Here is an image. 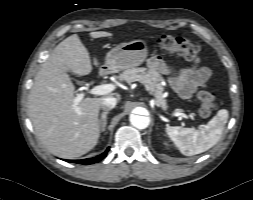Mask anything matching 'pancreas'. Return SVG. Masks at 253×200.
Wrapping results in <instances>:
<instances>
[{
    "label": "pancreas",
    "instance_id": "cf45deb5",
    "mask_svg": "<svg viewBox=\"0 0 253 200\" xmlns=\"http://www.w3.org/2000/svg\"><path fill=\"white\" fill-rule=\"evenodd\" d=\"M121 80H125L127 83L138 81L142 83L146 90L153 96H155V102L157 106L166 108V100L162 97L163 86L161 81L163 80L161 75L152 69L132 68L125 70L121 76Z\"/></svg>",
    "mask_w": 253,
    "mask_h": 200
}]
</instances>
